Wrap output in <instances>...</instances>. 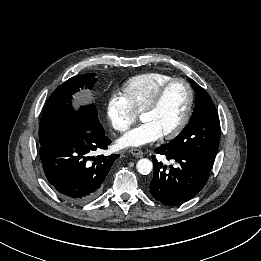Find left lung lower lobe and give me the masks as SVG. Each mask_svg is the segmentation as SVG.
<instances>
[{
  "mask_svg": "<svg viewBox=\"0 0 261 261\" xmlns=\"http://www.w3.org/2000/svg\"><path fill=\"white\" fill-rule=\"evenodd\" d=\"M155 152L172 159L177 166L166 170L153 156L154 176L150 193L165 206L181 205L197 195L206 184L212 164L179 148L162 145Z\"/></svg>",
  "mask_w": 261,
  "mask_h": 261,
  "instance_id": "1",
  "label": "left lung lower lobe"
}]
</instances>
